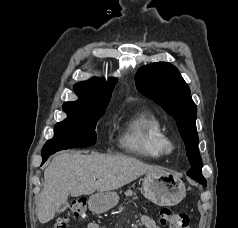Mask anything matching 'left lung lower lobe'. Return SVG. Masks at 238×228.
Wrapping results in <instances>:
<instances>
[{"mask_svg": "<svg viewBox=\"0 0 238 228\" xmlns=\"http://www.w3.org/2000/svg\"><path fill=\"white\" fill-rule=\"evenodd\" d=\"M188 175V174H187ZM188 176H190V175H188ZM191 178H193V179H195L197 182H199L200 184H202L203 186H206L207 184H206V180H205V178L203 177V176H195V175H193V176H190Z\"/></svg>", "mask_w": 238, "mask_h": 228, "instance_id": "left-lung-lower-lobe-1", "label": "left lung lower lobe"}]
</instances>
